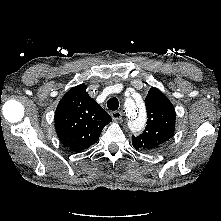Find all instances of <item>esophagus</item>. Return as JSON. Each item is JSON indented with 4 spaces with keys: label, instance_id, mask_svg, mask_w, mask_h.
I'll return each instance as SVG.
<instances>
[{
    "label": "esophagus",
    "instance_id": "obj_1",
    "mask_svg": "<svg viewBox=\"0 0 221 221\" xmlns=\"http://www.w3.org/2000/svg\"><path fill=\"white\" fill-rule=\"evenodd\" d=\"M111 117L113 118V120L119 121L122 119V113L120 111H112Z\"/></svg>",
    "mask_w": 221,
    "mask_h": 221
}]
</instances>
